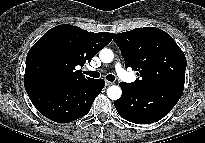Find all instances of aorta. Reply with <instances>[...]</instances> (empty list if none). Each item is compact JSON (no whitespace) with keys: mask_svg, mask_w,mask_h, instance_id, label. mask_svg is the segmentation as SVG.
<instances>
[{"mask_svg":"<svg viewBox=\"0 0 205 143\" xmlns=\"http://www.w3.org/2000/svg\"><path fill=\"white\" fill-rule=\"evenodd\" d=\"M99 57L102 62L110 63L113 61L114 53L112 52V50L108 48H104L99 52ZM121 94H122V90L117 85H112L107 89V96L111 100H118L121 97Z\"/></svg>","mask_w":205,"mask_h":143,"instance_id":"1","label":"aorta"}]
</instances>
